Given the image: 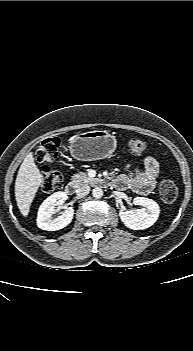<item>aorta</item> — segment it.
Masks as SVG:
<instances>
[{"label":"aorta","mask_w":193,"mask_h":351,"mask_svg":"<svg viewBox=\"0 0 193 351\" xmlns=\"http://www.w3.org/2000/svg\"><path fill=\"white\" fill-rule=\"evenodd\" d=\"M92 195L94 198L96 199H99L103 196V190L99 187H95L93 190H92Z\"/></svg>","instance_id":"obj_1"}]
</instances>
